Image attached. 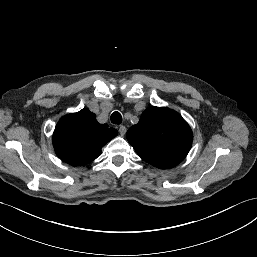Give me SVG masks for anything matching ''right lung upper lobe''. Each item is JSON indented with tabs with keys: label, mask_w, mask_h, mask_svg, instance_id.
Wrapping results in <instances>:
<instances>
[{
	"label": "right lung upper lobe",
	"mask_w": 257,
	"mask_h": 257,
	"mask_svg": "<svg viewBox=\"0 0 257 257\" xmlns=\"http://www.w3.org/2000/svg\"><path fill=\"white\" fill-rule=\"evenodd\" d=\"M117 134L116 129L99 124L94 113L82 109L60 119L53 133V145L64 162L82 166L100 156L101 148Z\"/></svg>",
	"instance_id": "1"
}]
</instances>
